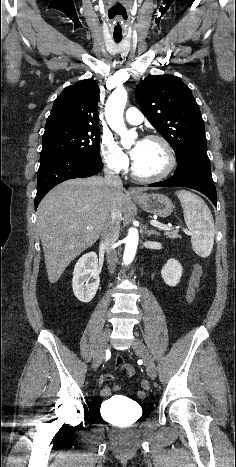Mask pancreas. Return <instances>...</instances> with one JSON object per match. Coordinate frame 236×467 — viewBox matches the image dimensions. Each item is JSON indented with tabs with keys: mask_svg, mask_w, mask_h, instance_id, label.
Wrapping results in <instances>:
<instances>
[{
	"mask_svg": "<svg viewBox=\"0 0 236 467\" xmlns=\"http://www.w3.org/2000/svg\"><path fill=\"white\" fill-rule=\"evenodd\" d=\"M165 236H166L167 238H170V239H176V238L179 237L177 231H166V232H165Z\"/></svg>",
	"mask_w": 236,
	"mask_h": 467,
	"instance_id": "cf45deb5",
	"label": "pancreas"
}]
</instances>
